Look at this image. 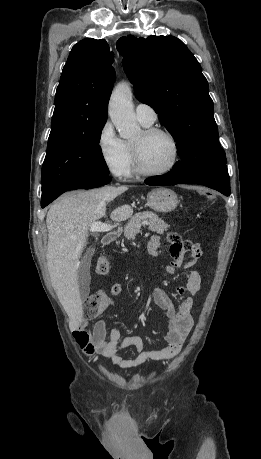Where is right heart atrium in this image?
Returning a JSON list of instances; mask_svg holds the SVG:
<instances>
[{"label":"right heart atrium","mask_w":261,"mask_h":459,"mask_svg":"<svg viewBox=\"0 0 261 459\" xmlns=\"http://www.w3.org/2000/svg\"><path fill=\"white\" fill-rule=\"evenodd\" d=\"M97 148L105 167L115 176H126L131 160L124 141L117 135L113 124L106 121L97 136Z\"/></svg>","instance_id":"obj_1"}]
</instances>
